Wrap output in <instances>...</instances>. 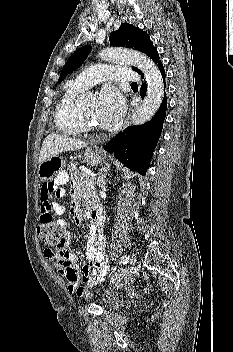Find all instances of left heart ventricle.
<instances>
[{"label":"left heart ventricle","mask_w":233,"mask_h":352,"mask_svg":"<svg viewBox=\"0 0 233 352\" xmlns=\"http://www.w3.org/2000/svg\"><path fill=\"white\" fill-rule=\"evenodd\" d=\"M95 102L94 101H91V102H88L86 104H84L82 106L84 112L86 113V115L88 116V118L91 120L92 123L98 125V122L95 118Z\"/></svg>","instance_id":"1"}]
</instances>
